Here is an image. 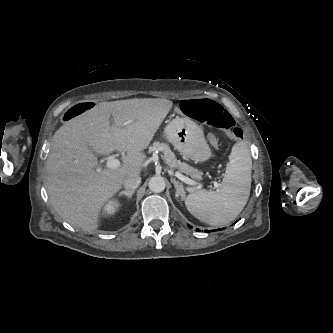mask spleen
<instances>
[{
  "label": "spleen",
  "instance_id": "1",
  "mask_svg": "<svg viewBox=\"0 0 333 333\" xmlns=\"http://www.w3.org/2000/svg\"><path fill=\"white\" fill-rule=\"evenodd\" d=\"M251 152L244 141L229 155L224 178L216 191L199 190L185 198L187 210L211 226L226 225L244 209L251 190Z\"/></svg>",
  "mask_w": 333,
  "mask_h": 333
}]
</instances>
